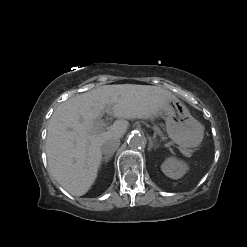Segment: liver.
I'll list each match as a JSON object with an SVG mask.
<instances>
[{
    "instance_id": "liver-1",
    "label": "liver",
    "mask_w": 247,
    "mask_h": 247,
    "mask_svg": "<svg viewBox=\"0 0 247 247\" xmlns=\"http://www.w3.org/2000/svg\"><path fill=\"white\" fill-rule=\"evenodd\" d=\"M170 91L158 86L104 85L78 94L60 104L48 124L46 154L52 177L71 195L86 194L97 177L101 146L109 138H122L128 129L124 119H151L163 112ZM103 112L116 121L106 131L96 129Z\"/></svg>"
}]
</instances>
